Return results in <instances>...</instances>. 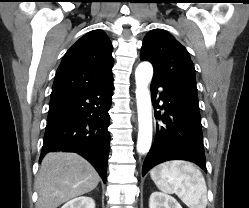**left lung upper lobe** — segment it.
Returning <instances> with one entry per match:
<instances>
[{"mask_svg": "<svg viewBox=\"0 0 249 208\" xmlns=\"http://www.w3.org/2000/svg\"><path fill=\"white\" fill-rule=\"evenodd\" d=\"M154 67V77L173 83L197 97L195 69L183 45L162 29L146 34L140 54Z\"/></svg>", "mask_w": 249, "mask_h": 208, "instance_id": "1", "label": "left lung upper lobe"}]
</instances>
